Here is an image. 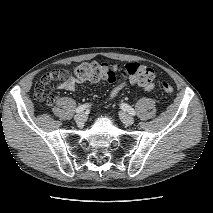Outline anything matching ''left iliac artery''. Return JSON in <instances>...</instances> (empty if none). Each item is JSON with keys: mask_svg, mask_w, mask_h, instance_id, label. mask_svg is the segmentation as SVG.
<instances>
[{"mask_svg": "<svg viewBox=\"0 0 213 213\" xmlns=\"http://www.w3.org/2000/svg\"><path fill=\"white\" fill-rule=\"evenodd\" d=\"M121 107L123 110L127 111L130 115H132V116L136 115L135 110L128 104L123 103Z\"/></svg>", "mask_w": 213, "mask_h": 213, "instance_id": "44dca946", "label": "left iliac artery"}]
</instances>
